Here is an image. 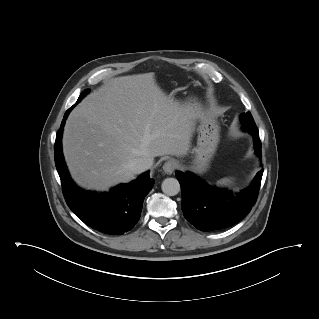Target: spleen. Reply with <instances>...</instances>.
Segmentation results:
<instances>
[{
    "label": "spleen",
    "instance_id": "obj_1",
    "mask_svg": "<svg viewBox=\"0 0 319 319\" xmlns=\"http://www.w3.org/2000/svg\"><path fill=\"white\" fill-rule=\"evenodd\" d=\"M231 182L230 178H222L220 179L217 184L221 186L228 185Z\"/></svg>",
    "mask_w": 319,
    "mask_h": 319
}]
</instances>
